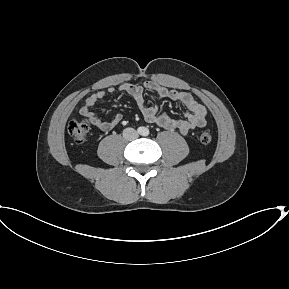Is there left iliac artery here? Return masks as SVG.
Returning a JSON list of instances; mask_svg holds the SVG:
<instances>
[{
  "mask_svg": "<svg viewBox=\"0 0 289 289\" xmlns=\"http://www.w3.org/2000/svg\"><path fill=\"white\" fill-rule=\"evenodd\" d=\"M144 135H145V136H148V135H149V130H148V129H145V130H144Z\"/></svg>",
  "mask_w": 289,
  "mask_h": 289,
  "instance_id": "left-iliac-artery-1",
  "label": "left iliac artery"
}]
</instances>
